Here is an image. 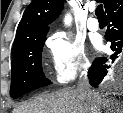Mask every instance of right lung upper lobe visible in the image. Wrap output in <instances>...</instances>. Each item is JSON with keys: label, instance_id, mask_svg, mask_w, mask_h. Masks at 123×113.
Returning a JSON list of instances; mask_svg holds the SVG:
<instances>
[{"label": "right lung upper lobe", "instance_id": "obj_1", "mask_svg": "<svg viewBox=\"0 0 123 113\" xmlns=\"http://www.w3.org/2000/svg\"><path fill=\"white\" fill-rule=\"evenodd\" d=\"M111 1L101 0L106 10ZM62 9V0H33L24 11L18 25L13 50L27 40L46 35L48 25L58 17Z\"/></svg>", "mask_w": 123, "mask_h": 113}]
</instances>
